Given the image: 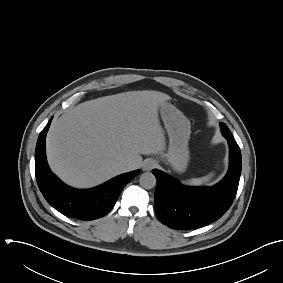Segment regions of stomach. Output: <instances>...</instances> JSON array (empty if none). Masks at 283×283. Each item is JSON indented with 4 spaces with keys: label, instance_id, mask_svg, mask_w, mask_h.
<instances>
[{
    "label": "stomach",
    "instance_id": "0dacf381",
    "mask_svg": "<svg viewBox=\"0 0 283 283\" xmlns=\"http://www.w3.org/2000/svg\"><path fill=\"white\" fill-rule=\"evenodd\" d=\"M160 114L169 137V147L164 157L175 171L183 172L190 156V122L174 105L166 102L160 106Z\"/></svg>",
    "mask_w": 283,
    "mask_h": 283
}]
</instances>
